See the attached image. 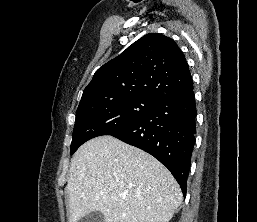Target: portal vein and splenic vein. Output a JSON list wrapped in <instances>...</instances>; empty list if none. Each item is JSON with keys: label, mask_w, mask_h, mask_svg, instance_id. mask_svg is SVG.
I'll use <instances>...</instances> for the list:
<instances>
[{"label": "portal vein and splenic vein", "mask_w": 257, "mask_h": 222, "mask_svg": "<svg viewBox=\"0 0 257 222\" xmlns=\"http://www.w3.org/2000/svg\"><path fill=\"white\" fill-rule=\"evenodd\" d=\"M121 197H122V198H125V197H126V195H124V194H121Z\"/></svg>", "instance_id": "portal-vein-and-splenic-vein-1"}]
</instances>
